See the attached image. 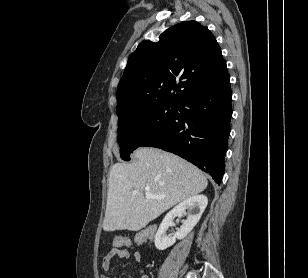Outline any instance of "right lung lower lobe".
<instances>
[{
    "mask_svg": "<svg viewBox=\"0 0 308 278\" xmlns=\"http://www.w3.org/2000/svg\"><path fill=\"white\" fill-rule=\"evenodd\" d=\"M232 93L230 78L186 98L177 115L140 146L157 147L193 163L220 184L230 134Z\"/></svg>",
    "mask_w": 308,
    "mask_h": 278,
    "instance_id": "98d812e1",
    "label": "right lung lower lobe"
}]
</instances>
